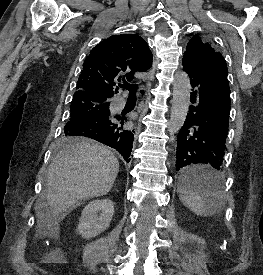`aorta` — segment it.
<instances>
[{
	"instance_id": "762f6f07",
	"label": "aorta",
	"mask_w": 263,
	"mask_h": 275,
	"mask_svg": "<svg viewBox=\"0 0 263 275\" xmlns=\"http://www.w3.org/2000/svg\"><path fill=\"white\" fill-rule=\"evenodd\" d=\"M191 85L185 72L176 73L173 81V99L169 128L173 133L178 132L185 120L190 105Z\"/></svg>"
}]
</instances>
